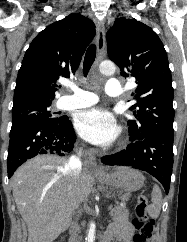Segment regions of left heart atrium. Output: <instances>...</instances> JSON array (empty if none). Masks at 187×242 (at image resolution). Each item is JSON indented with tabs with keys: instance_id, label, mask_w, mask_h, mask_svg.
I'll return each instance as SVG.
<instances>
[{
	"instance_id": "39dd6f15",
	"label": "left heart atrium",
	"mask_w": 187,
	"mask_h": 242,
	"mask_svg": "<svg viewBox=\"0 0 187 242\" xmlns=\"http://www.w3.org/2000/svg\"><path fill=\"white\" fill-rule=\"evenodd\" d=\"M75 127L84 139L98 145L110 144L119 133L113 115L101 108L79 112L75 119Z\"/></svg>"
}]
</instances>
